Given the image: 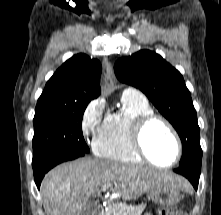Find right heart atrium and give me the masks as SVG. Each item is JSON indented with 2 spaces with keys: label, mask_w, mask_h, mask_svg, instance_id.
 <instances>
[{
  "label": "right heart atrium",
  "mask_w": 221,
  "mask_h": 215,
  "mask_svg": "<svg viewBox=\"0 0 221 215\" xmlns=\"http://www.w3.org/2000/svg\"><path fill=\"white\" fill-rule=\"evenodd\" d=\"M104 104L101 100L91 101L83 112L81 130L85 137L96 138L103 124Z\"/></svg>",
  "instance_id": "1"
}]
</instances>
